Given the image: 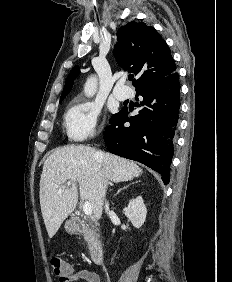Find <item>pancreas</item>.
<instances>
[{"mask_svg":"<svg viewBox=\"0 0 232 282\" xmlns=\"http://www.w3.org/2000/svg\"><path fill=\"white\" fill-rule=\"evenodd\" d=\"M94 233H95L94 230L86 231V232H85V235H84V236H85V239H86V240L91 239V237H93Z\"/></svg>","mask_w":232,"mask_h":282,"instance_id":"cf45deb5","label":"pancreas"}]
</instances>
